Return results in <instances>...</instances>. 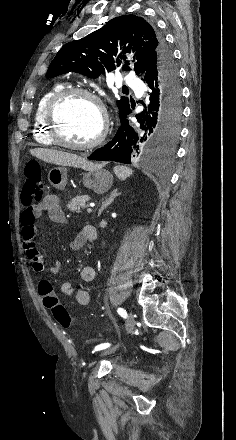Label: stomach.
<instances>
[{
  "label": "stomach",
  "mask_w": 236,
  "mask_h": 440,
  "mask_svg": "<svg viewBox=\"0 0 236 440\" xmlns=\"http://www.w3.org/2000/svg\"><path fill=\"white\" fill-rule=\"evenodd\" d=\"M67 168L53 167L48 172V180L50 184L59 190H64L67 184ZM83 184L86 188L93 190L95 193L102 194L107 192L113 184L112 174L101 166L87 170L83 174Z\"/></svg>",
  "instance_id": "0dacf381"
}]
</instances>
